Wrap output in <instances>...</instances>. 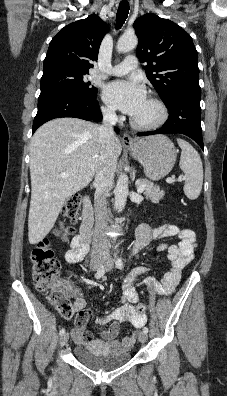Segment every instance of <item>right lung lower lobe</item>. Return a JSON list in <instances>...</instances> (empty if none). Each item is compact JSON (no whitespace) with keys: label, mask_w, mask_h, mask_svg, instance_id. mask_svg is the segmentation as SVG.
<instances>
[{"label":"right lung lower lobe","mask_w":227,"mask_h":396,"mask_svg":"<svg viewBox=\"0 0 227 396\" xmlns=\"http://www.w3.org/2000/svg\"><path fill=\"white\" fill-rule=\"evenodd\" d=\"M61 117H75L88 121L102 120L96 98H86L63 90L50 91L39 96L33 133L45 122ZM115 130L118 132V128Z\"/></svg>","instance_id":"1"}]
</instances>
